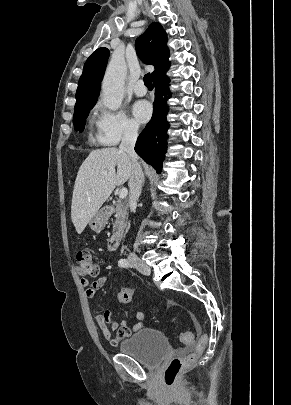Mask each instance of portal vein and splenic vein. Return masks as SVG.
I'll list each match as a JSON object with an SVG mask.
<instances>
[{
  "mask_svg": "<svg viewBox=\"0 0 291 405\" xmlns=\"http://www.w3.org/2000/svg\"><path fill=\"white\" fill-rule=\"evenodd\" d=\"M127 194H128L127 189H126V188H122V189H120V191H119V198L123 199V198H125V197L127 196Z\"/></svg>",
  "mask_w": 291,
  "mask_h": 405,
  "instance_id": "obj_1",
  "label": "portal vein and splenic vein"
}]
</instances>
